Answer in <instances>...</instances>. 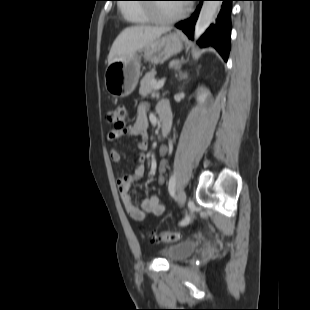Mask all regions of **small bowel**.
<instances>
[{
	"mask_svg": "<svg viewBox=\"0 0 310 310\" xmlns=\"http://www.w3.org/2000/svg\"><path fill=\"white\" fill-rule=\"evenodd\" d=\"M158 113L160 111L170 112L169 104L162 101L157 107ZM123 135L136 138L140 141L139 146L141 149L147 147L148 138V117L147 108L145 105H141L138 108L137 117L134 123L128 126L125 130H110L106 139L109 143H114ZM110 159L113 162H119L121 160V154L116 148H111L109 151ZM166 168V162L163 161L160 165V175L158 178L159 183H163V173ZM145 173L144 157L138 156L135 160V166L132 172L122 175L117 180L118 191L120 194L121 201L127 212V214L135 221L142 222L146 219L149 214L160 216L165 211V205L160 201L157 195L151 194L147 197L141 198L140 206H138L130 192L131 184L143 177Z\"/></svg>",
	"mask_w": 310,
	"mask_h": 310,
	"instance_id": "1",
	"label": "small bowel"
}]
</instances>
